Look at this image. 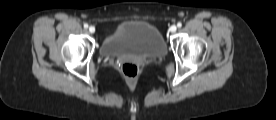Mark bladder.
Returning a JSON list of instances; mask_svg holds the SVG:
<instances>
[{"instance_id":"31cf9c89","label":"bladder","mask_w":276,"mask_h":120,"mask_svg":"<svg viewBox=\"0 0 276 120\" xmlns=\"http://www.w3.org/2000/svg\"><path fill=\"white\" fill-rule=\"evenodd\" d=\"M167 47L160 30L154 25L136 19H127L117 24L100 45L104 57L136 55L163 57Z\"/></svg>"}]
</instances>
